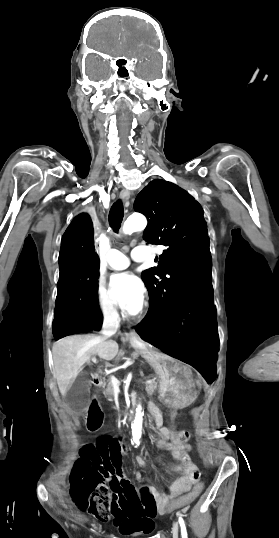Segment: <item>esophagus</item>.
I'll return each instance as SVG.
<instances>
[{"label":"esophagus","mask_w":279,"mask_h":538,"mask_svg":"<svg viewBox=\"0 0 279 538\" xmlns=\"http://www.w3.org/2000/svg\"><path fill=\"white\" fill-rule=\"evenodd\" d=\"M120 198L122 199V201L125 203V204H128L129 202V198H130V192L129 190H126V189H123L121 192H120ZM126 338L127 339H138L139 336L137 335V333L135 332V330L131 329L129 331V333L126 334Z\"/></svg>","instance_id":"34e87169"}]
</instances>
